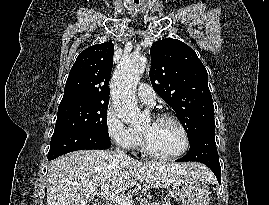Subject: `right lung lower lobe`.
<instances>
[{"label":"right lung lower lobe","instance_id":"98d812e1","mask_svg":"<svg viewBox=\"0 0 269 205\" xmlns=\"http://www.w3.org/2000/svg\"><path fill=\"white\" fill-rule=\"evenodd\" d=\"M111 146L109 138L78 130L54 132L51 138L48 160L63 154L82 149H108Z\"/></svg>","mask_w":269,"mask_h":205}]
</instances>
